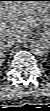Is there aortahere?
I'll list each match as a JSON object with an SVG mask.
<instances>
[{
    "label": "aorta",
    "instance_id": "762f6f07",
    "mask_svg": "<svg viewBox=\"0 0 50 111\" xmlns=\"http://www.w3.org/2000/svg\"><path fill=\"white\" fill-rule=\"evenodd\" d=\"M30 49L33 53L43 55L45 53L46 46L39 40H33Z\"/></svg>",
    "mask_w": 50,
    "mask_h": 111
}]
</instances>
